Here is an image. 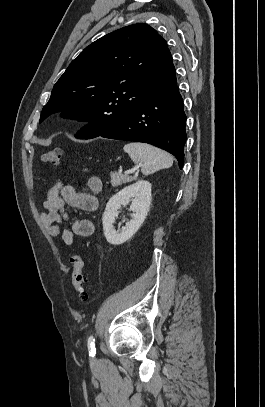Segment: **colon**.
I'll return each instance as SVG.
<instances>
[{
  "label": "colon",
  "mask_w": 265,
  "mask_h": 407,
  "mask_svg": "<svg viewBox=\"0 0 265 407\" xmlns=\"http://www.w3.org/2000/svg\"><path fill=\"white\" fill-rule=\"evenodd\" d=\"M61 149H52L43 153L42 161L49 165H58L63 158ZM72 264V284L73 288L81 301H87L89 294L87 291L88 279L83 273L84 262L80 255H73L70 259Z\"/></svg>",
  "instance_id": "1"
}]
</instances>
